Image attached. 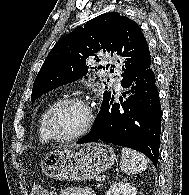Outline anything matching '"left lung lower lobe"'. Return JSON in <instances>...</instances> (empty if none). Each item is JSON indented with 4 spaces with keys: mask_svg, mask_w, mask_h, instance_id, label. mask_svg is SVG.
<instances>
[{
    "mask_svg": "<svg viewBox=\"0 0 189 195\" xmlns=\"http://www.w3.org/2000/svg\"><path fill=\"white\" fill-rule=\"evenodd\" d=\"M130 94L121 104L113 96L101 105L90 133L77 143L98 140L144 153L155 166L159 155L161 106L151 60L124 79Z\"/></svg>",
    "mask_w": 189,
    "mask_h": 195,
    "instance_id": "left-lung-lower-lobe-1",
    "label": "left lung lower lobe"
}]
</instances>
